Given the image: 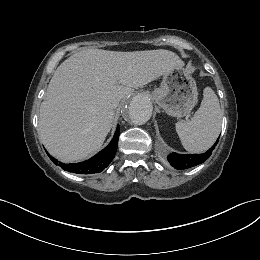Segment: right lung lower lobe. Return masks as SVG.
Here are the masks:
<instances>
[{
    "instance_id": "98d812e1",
    "label": "right lung lower lobe",
    "mask_w": 260,
    "mask_h": 260,
    "mask_svg": "<svg viewBox=\"0 0 260 260\" xmlns=\"http://www.w3.org/2000/svg\"><path fill=\"white\" fill-rule=\"evenodd\" d=\"M119 125L115 131L114 137L111 142L108 144L106 148L100 151L98 154L80 163L74 164H64L58 162L53 157L48 155L50 159L53 161L54 164L59 165L64 170L77 173V174H92V173H99L103 171L113 160L115 157V153L118 146V138H119Z\"/></svg>"
}]
</instances>
